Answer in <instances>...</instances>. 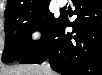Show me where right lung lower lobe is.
<instances>
[{"mask_svg":"<svg viewBox=\"0 0 102 75\" xmlns=\"http://www.w3.org/2000/svg\"><path fill=\"white\" fill-rule=\"evenodd\" d=\"M77 18L60 20L45 41L20 63L39 64L49 59L51 68L62 75H102V0H73ZM73 28L72 33L66 27Z\"/></svg>","mask_w":102,"mask_h":75,"instance_id":"98d812e1","label":"right lung lower lobe"}]
</instances>
